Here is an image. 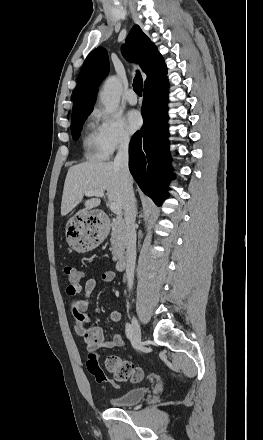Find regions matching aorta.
<instances>
[{
    "instance_id": "aorta-1",
    "label": "aorta",
    "mask_w": 263,
    "mask_h": 440,
    "mask_svg": "<svg viewBox=\"0 0 263 440\" xmlns=\"http://www.w3.org/2000/svg\"><path fill=\"white\" fill-rule=\"evenodd\" d=\"M122 84L116 76L109 77L100 92V100L107 112L112 113L120 103Z\"/></svg>"
}]
</instances>
